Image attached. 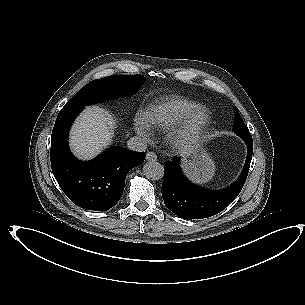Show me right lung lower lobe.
Masks as SVG:
<instances>
[{"instance_id": "right-lung-lower-lobe-1", "label": "right lung lower lobe", "mask_w": 305, "mask_h": 305, "mask_svg": "<svg viewBox=\"0 0 305 305\" xmlns=\"http://www.w3.org/2000/svg\"><path fill=\"white\" fill-rule=\"evenodd\" d=\"M76 112L64 106L58 114L52 132V170L74 204L87 210L106 211L121 198L127 173L142 163L146 154L114 146L89 162L75 161L66 149L65 138Z\"/></svg>"}]
</instances>
